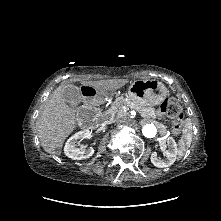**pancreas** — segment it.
<instances>
[{"label": "pancreas", "instance_id": "pancreas-1", "mask_svg": "<svg viewBox=\"0 0 221 221\" xmlns=\"http://www.w3.org/2000/svg\"><path fill=\"white\" fill-rule=\"evenodd\" d=\"M128 105L130 108L137 110L143 117L155 119L157 117L156 111L152 107H143L133 103L129 98L123 96L117 97L111 107L101 114L105 122H111L115 118H122L127 116V112L123 110V106Z\"/></svg>", "mask_w": 221, "mask_h": 221}]
</instances>
